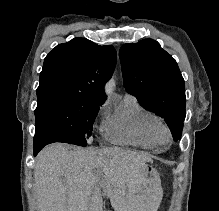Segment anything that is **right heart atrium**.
<instances>
[{
	"instance_id": "obj_1",
	"label": "right heart atrium",
	"mask_w": 219,
	"mask_h": 211,
	"mask_svg": "<svg viewBox=\"0 0 219 211\" xmlns=\"http://www.w3.org/2000/svg\"><path fill=\"white\" fill-rule=\"evenodd\" d=\"M105 109H106V106L102 105L101 108H100V111H105Z\"/></svg>"
}]
</instances>
